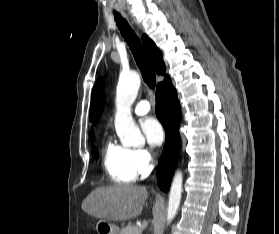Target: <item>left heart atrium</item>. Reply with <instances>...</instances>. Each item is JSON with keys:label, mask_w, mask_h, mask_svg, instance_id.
Masks as SVG:
<instances>
[{"label": "left heart atrium", "mask_w": 279, "mask_h": 234, "mask_svg": "<svg viewBox=\"0 0 279 234\" xmlns=\"http://www.w3.org/2000/svg\"><path fill=\"white\" fill-rule=\"evenodd\" d=\"M142 131L151 146H160L164 140V129L160 122L148 117L141 124Z\"/></svg>", "instance_id": "39dd6f15"}]
</instances>
